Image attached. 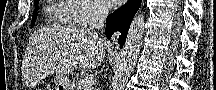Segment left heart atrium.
<instances>
[{
    "label": "left heart atrium",
    "instance_id": "1",
    "mask_svg": "<svg viewBox=\"0 0 216 90\" xmlns=\"http://www.w3.org/2000/svg\"><path fill=\"white\" fill-rule=\"evenodd\" d=\"M102 7H121L122 0H98Z\"/></svg>",
    "mask_w": 216,
    "mask_h": 90
}]
</instances>
